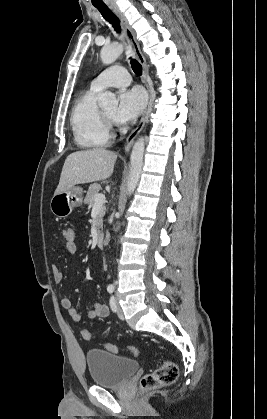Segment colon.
<instances>
[{"instance_id": "colon-1", "label": "colon", "mask_w": 267, "mask_h": 419, "mask_svg": "<svg viewBox=\"0 0 267 419\" xmlns=\"http://www.w3.org/2000/svg\"><path fill=\"white\" fill-rule=\"evenodd\" d=\"M65 244H76V232L72 226H67L62 231ZM83 339L90 340L91 334L87 329L81 330ZM106 350L117 353L118 347L111 343L105 344ZM127 351L133 355H138V349L135 346H128ZM179 375L177 365L169 360L163 361L157 368L146 374L141 380V387L143 389H154L162 386H168L176 382Z\"/></svg>"}]
</instances>
